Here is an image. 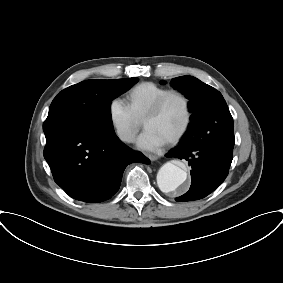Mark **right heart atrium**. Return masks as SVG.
I'll list each match as a JSON object with an SVG mask.
<instances>
[{"instance_id":"right-heart-atrium-1","label":"right heart atrium","mask_w":283,"mask_h":283,"mask_svg":"<svg viewBox=\"0 0 283 283\" xmlns=\"http://www.w3.org/2000/svg\"><path fill=\"white\" fill-rule=\"evenodd\" d=\"M108 117L111 127L121 141L131 142L134 140L141 123L126 102L120 98L112 99L108 107Z\"/></svg>"}]
</instances>
